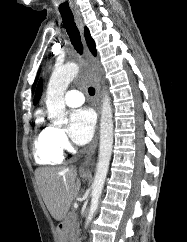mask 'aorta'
<instances>
[{
  "label": "aorta",
  "instance_id": "aorta-1",
  "mask_svg": "<svg viewBox=\"0 0 187 242\" xmlns=\"http://www.w3.org/2000/svg\"><path fill=\"white\" fill-rule=\"evenodd\" d=\"M79 72V66L75 63H67L57 66L48 83L46 93V106L48 116L55 123H61L66 118V108L64 94ZM113 147V114L111 100L104 94L102 100V112L100 122V144L96 173L92 184L90 211L86 220V225L92 220L97 209L99 198L102 194L105 179L107 176L109 163Z\"/></svg>",
  "mask_w": 187,
  "mask_h": 242
}]
</instances>
